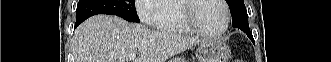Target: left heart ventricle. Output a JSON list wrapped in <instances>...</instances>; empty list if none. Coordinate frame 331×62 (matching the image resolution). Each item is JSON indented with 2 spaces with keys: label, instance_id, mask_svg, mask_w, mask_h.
Segmentation results:
<instances>
[{
  "label": "left heart ventricle",
  "instance_id": "b2bd125f",
  "mask_svg": "<svg viewBox=\"0 0 331 62\" xmlns=\"http://www.w3.org/2000/svg\"><path fill=\"white\" fill-rule=\"evenodd\" d=\"M193 16L209 32H217L224 26V10L216 0H199L194 7Z\"/></svg>",
  "mask_w": 331,
  "mask_h": 62
}]
</instances>
